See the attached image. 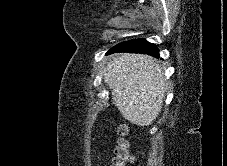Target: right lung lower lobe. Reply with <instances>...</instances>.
Masks as SVG:
<instances>
[{"label": "right lung lower lobe", "mask_w": 227, "mask_h": 166, "mask_svg": "<svg viewBox=\"0 0 227 166\" xmlns=\"http://www.w3.org/2000/svg\"><path fill=\"white\" fill-rule=\"evenodd\" d=\"M116 52L142 53L159 57L158 48L144 39H136L120 43L109 51V53Z\"/></svg>", "instance_id": "1"}]
</instances>
